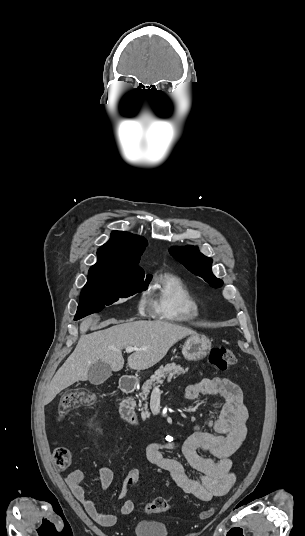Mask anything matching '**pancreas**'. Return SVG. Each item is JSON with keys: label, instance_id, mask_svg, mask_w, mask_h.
I'll list each match as a JSON object with an SVG mask.
<instances>
[{"label": "pancreas", "instance_id": "pancreas-1", "mask_svg": "<svg viewBox=\"0 0 305 536\" xmlns=\"http://www.w3.org/2000/svg\"><path fill=\"white\" fill-rule=\"evenodd\" d=\"M188 372V368H181V366H176V364H166V366H160L159 370H156L154 376H151L150 380H146L144 382L140 392L139 396L141 398V402L143 400H148L147 396L152 390L153 386H157V384H163L164 380H167V382H171V380H175V378H178V376H181V374H186ZM139 402L138 408H141L139 412H141L142 418H147V416H150L147 408L148 402L144 404V408H142V404Z\"/></svg>", "mask_w": 305, "mask_h": 536}]
</instances>
